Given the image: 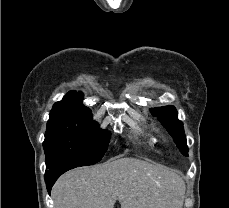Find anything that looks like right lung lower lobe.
Returning <instances> with one entry per match:
<instances>
[{
    "instance_id": "right-lung-lower-lobe-1",
    "label": "right lung lower lobe",
    "mask_w": 229,
    "mask_h": 208,
    "mask_svg": "<svg viewBox=\"0 0 229 208\" xmlns=\"http://www.w3.org/2000/svg\"><path fill=\"white\" fill-rule=\"evenodd\" d=\"M77 166L71 165V166H63L60 167L52 172H46L45 173V182H46V187L48 190V193L50 194L51 188L54 185L55 181L66 171L73 169Z\"/></svg>"
}]
</instances>
